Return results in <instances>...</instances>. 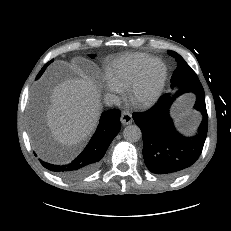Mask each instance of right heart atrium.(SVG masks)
Listing matches in <instances>:
<instances>
[{
  "mask_svg": "<svg viewBox=\"0 0 231 231\" xmlns=\"http://www.w3.org/2000/svg\"><path fill=\"white\" fill-rule=\"evenodd\" d=\"M103 87L108 93H112V94H120L123 90L109 78L104 80Z\"/></svg>",
  "mask_w": 231,
  "mask_h": 231,
  "instance_id": "1",
  "label": "right heart atrium"
}]
</instances>
